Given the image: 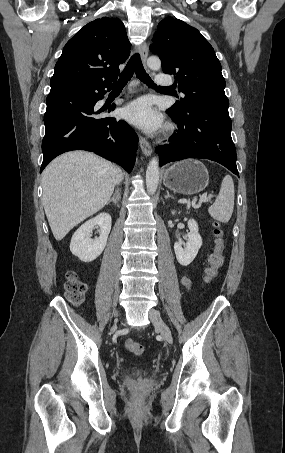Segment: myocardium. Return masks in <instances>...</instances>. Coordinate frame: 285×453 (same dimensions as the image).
<instances>
[{
  "label": "myocardium",
  "mask_w": 285,
  "mask_h": 453,
  "mask_svg": "<svg viewBox=\"0 0 285 453\" xmlns=\"http://www.w3.org/2000/svg\"><path fill=\"white\" fill-rule=\"evenodd\" d=\"M175 127L172 124H167L164 129V137L169 138L173 135Z\"/></svg>",
  "instance_id": "myocardium-1"
}]
</instances>
